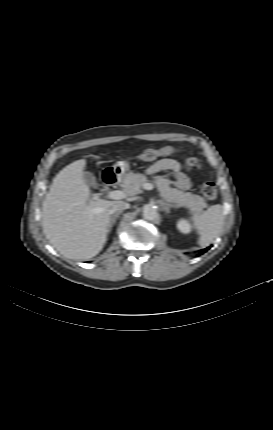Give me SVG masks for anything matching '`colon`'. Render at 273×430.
Returning <instances> with one entry per match:
<instances>
[{"instance_id":"1","label":"colon","mask_w":273,"mask_h":430,"mask_svg":"<svg viewBox=\"0 0 273 430\" xmlns=\"http://www.w3.org/2000/svg\"><path fill=\"white\" fill-rule=\"evenodd\" d=\"M176 152H178V150L173 147H165L162 149H146L138 155V158L142 161H152L161 155H169ZM185 165L187 168L193 170H199L201 168L199 160L195 157H187L185 159ZM201 193L208 200L215 199L217 196V187L215 183L210 181L204 182L201 185Z\"/></svg>"}]
</instances>
